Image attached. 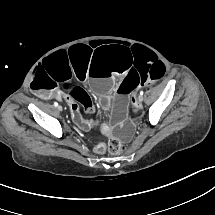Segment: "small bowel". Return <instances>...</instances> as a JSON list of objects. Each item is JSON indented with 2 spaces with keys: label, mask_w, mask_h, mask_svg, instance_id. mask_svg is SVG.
I'll use <instances>...</instances> for the list:
<instances>
[{
  "label": "small bowel",
  "mask_w": 215,
  "mask_h": 215,
  "mask_svg": "<svg viewBox=\"0 0 215 215\" xmlns=\"http://www.w3.org/2000/svg\"><path fill=\"white\" fill-rule=\"evenodd\" d=\"M60 95L65 99V101L67 100V98H71V97L69 96V94H67V93H62V94H60ZM88 122H89V124H90V127H89V128H92V127H94V126L97 125V123L94 122V121H88ZM96 151H97L98 153H104V152H105V147L97 146Z\"/></svg>",
  "instance_id": "obj_1"
}]
</instances>
